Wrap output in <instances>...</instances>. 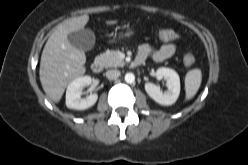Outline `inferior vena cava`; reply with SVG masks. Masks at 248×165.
Instances as JSON below:
<instances>
[{
	"mask_svg": "<svg viewBox=\"0 0 248 165\" xmlns=\"http://www.w3.org/2000/svg\"><path fill=\"white\" fill-rule=\"evenodd\" d=\"M120 76V71L119 70H108L106 72V77L109 79V80H115L117 79L118 77Z\"/></svg>",
	"mask_w": 248,
	"mask_h": 165,
	"instance_id": "obj_1",
	"label": "inferior vena cava"
}]
</instances>
